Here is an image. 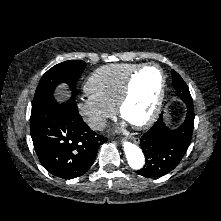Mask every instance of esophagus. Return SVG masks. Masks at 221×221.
I'll use <instances>...</instances> for the list:
<instances>
[{
  "instance_id": "esophagus-1",
  "label": "esophagus",
  "mask_w": 221,
  "mask_h": 221,
  "mask_svg": "<svg viewBox=\"0 0 221 221\" xmlns=\"http://www.w3.org/2000/svg\"><path fill=\"white\" fill-rule=\"evenodd\" d=\"M129 139L135 144H139L140 139L138 137L130 136Z\"/></svg>"
}]
</instances>
